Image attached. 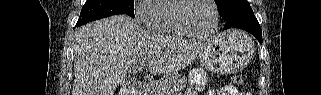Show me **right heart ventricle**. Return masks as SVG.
I'll return each mask as SVG.
<instances>
[{
    "mask_svg": "<svg viewBox=\"0 0 321 95\" xmlns=\"http://www.w3.org/2000/svg\"><path fill=\"white\" fill-rule=\"evenodd\" d=\"M177 2L178 0H156L152 15L147 23L148 28L156 32L188 35L172 22V10Z\"/></svg>",
    "mask_w": 321,
    "mask_h": 95,
    "instance_id": "e07e8e85",
    "label": "right heart ventricle"
}]
</instances>
